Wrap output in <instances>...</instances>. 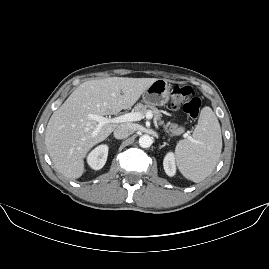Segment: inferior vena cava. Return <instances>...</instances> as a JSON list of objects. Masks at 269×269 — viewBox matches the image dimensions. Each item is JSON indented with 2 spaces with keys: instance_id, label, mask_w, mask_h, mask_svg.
Segmentation results:
<instances>
[{
  "instance_id": "inferior-vena-cava-1",
  "label": "inferior vena cava",
  "mask_w": 269,
  "mask_h": 269,
  "mask_svg": "<svg viewBox=\"0 0 269 269\" xmlns=\"http://www.w3.org/2000/svg\"><path fill=\"white\" fill-rule=\"evenodd\" d=\"M135 131V128L133 124L131 123H123L120 124L115 130H114V137L116 139H124L133 134Z\"/></svg>"
}]
</instances>
